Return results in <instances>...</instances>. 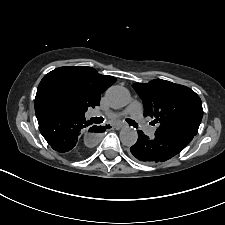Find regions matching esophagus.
Masks as SVG:
<instances>
[{
	"label": "esophagus",
	"mask_w": 225,
	"mask_h": 225,
	"mask_svg": "<svg viewBox=\"0 0 225 225\" xmlns=\"http://www.w3.org/2000/svg\"><path fill=\"white\" fill-rule=\"evenodd\" d=\"M112 127L115 129H120L123 127V125L122 124H114V125H112Z\"/></svg>",
	"instance_id": "esophagus-1"
}]
</instances>
